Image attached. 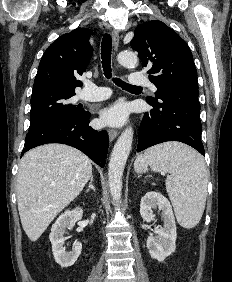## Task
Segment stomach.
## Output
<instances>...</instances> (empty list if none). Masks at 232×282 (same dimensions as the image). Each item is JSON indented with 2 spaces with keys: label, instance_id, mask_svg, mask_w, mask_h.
<instances>
[{
  "label": "stomach",
  "instance_id": "obj_1",
  "mask_svg": "<svg viewBox=\"0 0 232 282\" xmlns=\"http://www.w3.org/2000/svg\"><path fill=\"white\" fill-rule=\"evenodd\" d=\"M142 171H144V172H145V171H146V169H143V170H141L140 172H142Z\"/></svg>",
  "mask_w": 232,
  "mask_h": 282
}]
</instances>
